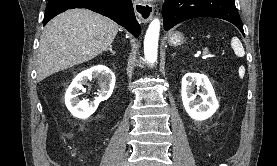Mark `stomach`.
I'll use <instances>...</instances> for the list:
<instances>
[{
	"label": "stomach",
	"mask_w": 277,
	"mask_h": 166,
	"mask_svg": "<svg viewBox=\"0 0 277 166\" xmlns=\"http://www.w3.org/2000/svg\"><path fill=\"white\" fill-rule=\"evenodd\" d=\"M184 42V35L180 32L172 33L168 38V43L171 46H179Z\"/></svg>",
	"instance_id": "0dacf381"
}]
</instances>
